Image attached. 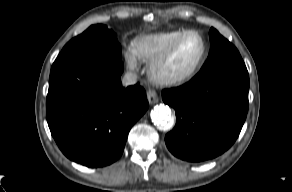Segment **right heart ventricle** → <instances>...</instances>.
I'll return each mask as SVG.
<instances>
[{
	"label": "right heart ventricle",
	"instance_id": "1",
	"mask_svg": "<svg viewBox=\"0 0 292 192\" xmlns=\"http://www.w3.org/2000/svg\"><path fill=\"white\" fill-rule=\"evenodd\" d=\"M185 31L175 29L139 36L132 42V51L137 59L152 63Z\"/></svg>",
	"mask_w": 292,
	"mask_h": 192
}]
</instances>
